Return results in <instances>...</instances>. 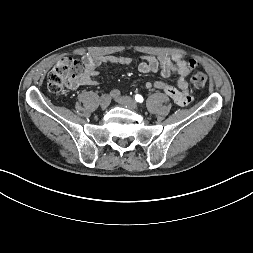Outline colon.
Returning a JSON list of instances; mask_svg holds the SVG:
<instances>
[{
    "instance_id": "5ec220e1",
    "label": "colon",
    "mask_w": 253,
    "mask_h": 253,
    "mask_svg": "<svg viewBox=\"0 0 253 253\" xmlns=\"http://www.w3.org/2000/svg\"><path fill=\"white\" fill-rule=\"evenodd\" d=\"M196 66V62L192 61ZM84 73L83 65L72 57L59 60L50 71L47 88L51 93H60L67 86H71ZM194 88H202L207 82V76L200 70H194L189 78Z\"/></svg>"
}]
</instances>
